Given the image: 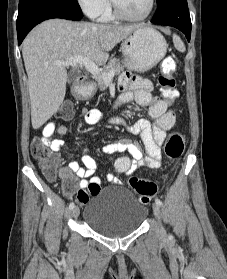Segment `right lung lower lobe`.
Wrapping results in <instances>:
<instances>
[{
	"instance_id": "98d812e1",
	"label": "right lung lower lobe",
	"mask_w": 227,
	"mask_h": 279,
	"mask_svg": "<svg viewBox=\"0 0 227 279\" xmlns=\"http://www.w3.org/2000/svg\"><path fill=\"white\" fill-rule=\"evenodd\" d=\"M83 17L76 0H19L16 21L18 43H22L29 31L38 23L52 18L77 21Z\"/></svg>"
}]
</instances>
